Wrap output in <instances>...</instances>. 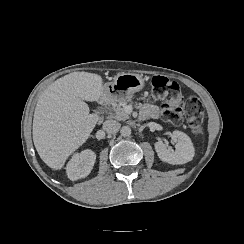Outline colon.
Listing matches in <instances>:
<instances>
[{
  "label": "colon",
  "instance_id": "colon-1",
  "mask_svg": "<svg viewBox=\"0 0 244 244\" xmlns=\"http://www.w3.org/2000/svg\"><path fill=\"white\" fill-rule=\"evenodd\" d=\"M151 85V101H166L167 104L164 105L163 109L172 118L175 125H180L183 122L181 114L184 113L192 133L199 134L201 132L204 105L197 97L191 96L183 101L180 98L178 84L162 76H154Z\"/></svg>",
  "mask_w": 244,
  "mask_h": 244
}]
</instances>
